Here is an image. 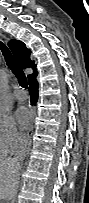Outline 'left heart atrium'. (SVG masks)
Returning a JSON list of instances; mask_svg holds the SVG:
<instances>
[{
  "instance_id": "39dd6f15",
  "label": "left heart atrium",
  "mask_w": 89,
  "mask_h": 203,
  "mask_svg": "<svg viewBox=\"0 0 89 203\" xmlns=\"http://www.w3.org/2000/svg\"><path fill=\"white\" fill-rule=\"evenodd\" d=\"M16 118L20 127L22 129H27L32 119V112L27 107L22 106L17 110Z\"/></svg>"
}]
</instances>
